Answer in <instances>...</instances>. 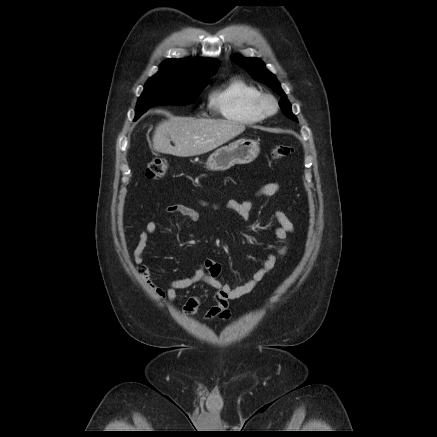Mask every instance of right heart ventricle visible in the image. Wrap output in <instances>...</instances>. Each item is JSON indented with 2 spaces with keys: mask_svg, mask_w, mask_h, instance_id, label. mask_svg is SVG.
I'll return each instance as SVG.
<instances>
[{
  "mask_svg": "<svg viewBox=\"0 0 437 437\" xmlns=\"http://www.w3.org/2000/svg\"><path fill=\"white\" fill-rule=\"evenodd\" d=\"M260 94L255 86L240 78H232L210 93L209 102L225 119L250 125L264 119L255 106Z\"/></svg>",
  "mask_w": 437,
  "mask_h": 437,
  "instance_id": "e07e8e85",
  "label": "right heart ventricle"
}]
</instances>
